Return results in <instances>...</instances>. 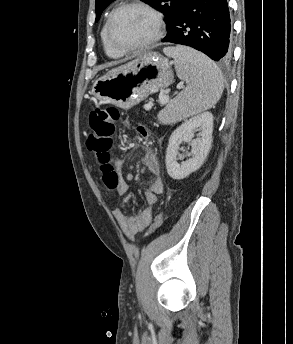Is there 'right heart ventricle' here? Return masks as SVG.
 I'll use <instances>...</instances> for the list:
<instances>
[{
    "label": "right heart ventricle",
    "instance_id": "1",
    "mask_svg": "<svg viewBox=\"0 0 293 344\" xmlns=\"http://www.w3.org/2000/svg\"><path fill=\"white\" fill-rule=\"evenodd\" d=\"M108 20V19H107ZM107 20L104 22L103 27L101 29V41L103 44L104 51L106 55L111 58V59H120L124 54L119 53L115 51L108 43L107 37H106V25H107Z\"/></svg>",
    "mask_w": 293,
    "mask_h": 344
}]
</instances>
